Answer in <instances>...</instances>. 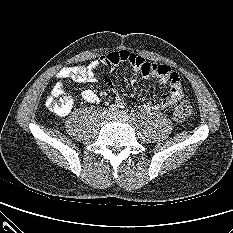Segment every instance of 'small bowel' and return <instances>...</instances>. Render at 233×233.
Returning a JSON list of instances; mask_svg holds the SVG:
<instances>
[{
    "label": "small bowel",
    "instance_id": "obj_1",
    "mask_svg": "<svg viewBox=\"0 0 233 233\" xmlns=\"http://www.w3.org/2000/svg\"><path fill=\"white\" fill-rule=\"evenodd\" d=\"M121 63H129L132 66L133 72L130 77L132 84H135L139 75L143 77H156L161 84L169 86L168 95L159 102L147 101L143 107L146 110H163L173 106L183 96L181 80L177 72L172 70L167 65L155 64L147 62L143 57L138 56L127 50H118L100 56L98 59L90 62L87 65L64 67L57 73L58 82L53 90L59 88L63 90L62 81L71 79L76 83H94L97 81L95 72L100 66L116 67ZM83 100L90 103H99L100 97L92 90H84L81 94ZM123 100L118 98L117 105L122 106ZM69 113L59 114L65 116Z\"/></svg>",
    "mask_w": 233,
    "mask_h": 233
}]
</instances>
